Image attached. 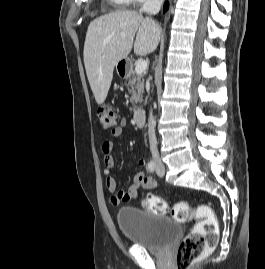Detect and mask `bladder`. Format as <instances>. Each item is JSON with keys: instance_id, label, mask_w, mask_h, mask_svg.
<instances>
[{"instance_id": "bladder-1", "label": "bladder", "mask_w": 265, "mask_h": 269, "mask_svg": "<svg viewBox=\"0 0 265 269\" xmlns=\"http://www.w3.org/2000/svg\"><path fill=\"white\" fill-rule=\"evenodd\" d=\"M116 220L130 243L152 251L167 249L181 234L180 224L169 217L148 214L133 206L120 208Z\"/></svg>"}]
</instances>
